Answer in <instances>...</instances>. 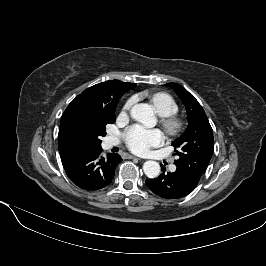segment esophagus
<instances>
[{
  "instance_id": "esophagus-1",
  "label": "esophagus",
  "mask_w": 266,
  "mask_h": 266,
  "mask_svg": "<svg viewBox=\"0 0 266 266\" xmlns=\"http://www.w3.org/2000/svg\"><path fill=\"white\" fill-rule=\"evenodd\" d=\"M127 158H129V159L141 160L140 158L135 157V156H133V155H128Z\"/></svg>"
}]
</instances>
